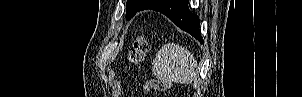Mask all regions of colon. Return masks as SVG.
Listing matches in <instances>:
<instances>
[{"mask_svg": "<svg viewBox=\"0 0 302 97\" xmlns=\"http://www.w3.org/2000/svg\"><path fill=\"white\" fill-rule=\"evenodd\" d=\"M148 48L147 41L142 36H138L127 54V60L135 64L140 63L144 59ZM167 87V83L157 79H150L145 84L146 91H163Z\"/></svg>", "mask_w": 302, "mask_h": 97, "instance_id": "5ec220e1", "label": "colon"}]
</instances>
